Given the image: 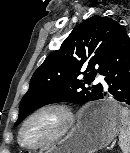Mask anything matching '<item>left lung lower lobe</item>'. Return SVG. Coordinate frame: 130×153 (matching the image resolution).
<instances>
[{
	"label": "left lung lower lobe",
	"mask_w": 130,
	"mask_h": 153,
	"mask_svg": "<svg viewBox=\"0 0 130 153\" xmlns=\"http://www.w3.org/2000/svg\"><path fill=\"white\" fill-rule=\"evenodd\" d=\"M100 74L105 76L109 90L108 93L103 92L100 84L99 99L109 94L114 99L130 105V39L125 31L120 33L114 43Z\"/></svg>",
	"instance_id": "1"
}]
</instances>
